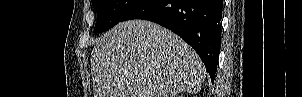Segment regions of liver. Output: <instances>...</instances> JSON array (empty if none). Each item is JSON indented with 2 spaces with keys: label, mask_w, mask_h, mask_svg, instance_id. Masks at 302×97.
<instances>
[{
  "label": "liver",
  "mask_w": 302,
  "mask_h": 97,
  "mask_svg": "<svg viewBox=\"0 0 302 97\" xmlns=\"http://www.w3.org/2000/svg\"><path fill=\"white\" fill-rule=\"evenodd\" d=\"M94 97H174L198 93L206 69L178 35L145 20L120 22L91 53Z\"/></svg>",
  "instance_id": "6515ba94"
}]
</instances>
